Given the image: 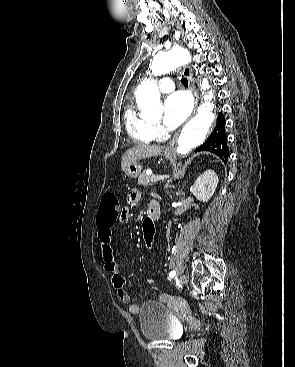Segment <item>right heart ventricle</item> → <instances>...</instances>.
<instances>
[{"label":"right heart ventricle","instance_id":"obj_1","mask_svg":"<svg viewBox=\"0 0 295 367\" xmlns=\"http://www.w3.org/2000/svg\"><path fill=\"white\" fill-rule=\"evenodd\" d=\"M124 123L131 139L138 144H149L156 136L153 124L142 117L133 105H128L124 112Z\"/></svg>","mask_w":295,"mask_h":367}]
</instances>
